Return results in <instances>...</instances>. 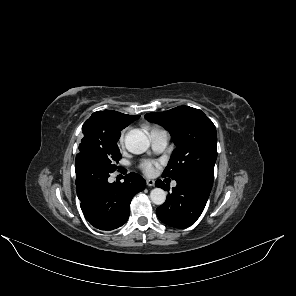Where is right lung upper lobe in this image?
I'll list each match as a JSON object with an SVG mask.
<instances>
[{
  "label": "right lung upper lobe",
  "mask_w": 296,
  "mask_h": 296,
  "mask_svg": "<svg viewBox=\"0 0 296 296\" xmlns=\"http://www.w3.org/2000/svg\"><path fill=\"white\" fill-rule=\"evenodd\" d=\"M138 115H126L117 111H97L84 123L85 133H108L115 129H123L136 120Z\"/></svg>",
  "instance_id": "1"
}]
</instances>
